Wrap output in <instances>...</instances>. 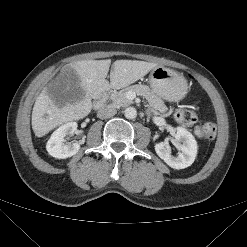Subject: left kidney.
Returning <instances> with one entry per match:
<instances>
[{
  "mask_svg": "<svg viewBox=\"0 0 247 247\" xmlns=\"http://www.w3.org/2000/svg\"><path fill=\"white\" fill-rule=\"evenodd\" d=\"M175 139L181 142L179 145L178 156L171 155L170 149L165 142L155 144V151L157 155L164 160V162L174 169H184L192 165L197 155V142L193 135L183 127H177Z\"/></svg>",
  "mask_w": 247,
  "mask_h": 247,
  "instance_id": "1",
  "label": "left kidney"
}]
</instances>
